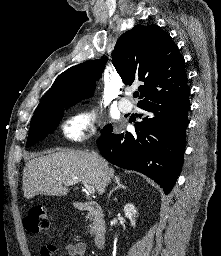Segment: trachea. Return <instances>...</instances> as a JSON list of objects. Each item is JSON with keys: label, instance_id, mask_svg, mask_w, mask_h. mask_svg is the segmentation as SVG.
<instances>
[{"label": "trachea", "instance_id": "3493384b", "mask_svg": "<svg viewBox=\"0 0 221 256\" xmlns=\"http://www.w3.org/2000/svg\"><path fill=\"white\" fill-rule=\"evenodd\" d=\"M138 96H139V93H138V92H134V93H133V97H134V98H137Z\"/></svg>", "mask_w": 221, "mask_h": 256}]
</instances>
